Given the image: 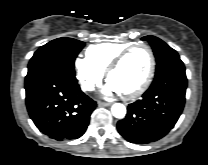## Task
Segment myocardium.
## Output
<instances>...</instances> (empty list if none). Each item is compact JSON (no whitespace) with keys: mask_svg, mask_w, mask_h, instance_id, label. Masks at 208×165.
Listing matches in <instances>:
<instances>
[{"mask_svg":"<svg viewBox=\"0 0 208 165\" xmlns=\"http://www.w3.org/2000/svg\"><path fill=\"white\" fill-rule=\"evenodd\" d=\"M138 47L145 48L149 53V58H150L149 70H148V73H147L144 81L142 82V84L139 87H137L136 89H134L131 92L122 94V97L127 100L137 98L138 96L143 94L148 89V87L150 86V84L152 82V79H153V76L155 73L156 60H155L154 51L151 48V46H149L146 43H133V44L129 45L128 47L124 48L116 55V57L109 64L108 68L106 69V73H105L106 78L109 81V77H110L111 73L121 65V63L124 61V59L127 57V55L131 51H133L134 49H136Z\"/></svg>","mask_w":208,"mask_h":165,"instance_id":"f54148a6","label":"myocardium"}]
</instances>
